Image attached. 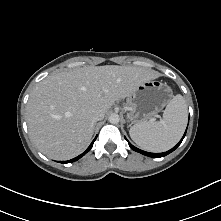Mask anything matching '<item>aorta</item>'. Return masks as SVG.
<instances>
[{"label": "aorta", "mask_w": 221, "mask_h": 221, "mask_svg": "<svg viewBox=\"0 0 221 221\" xmlns=\"http://www.w3.org/2000/svg\"><path fill=\"white\" fill-rule=\"evenodd\" d=\"M108 121H109L111 124H117V123H119V121H120V117H119L118 114L112 113V114L109 116Z\"/></svg>", "instance_id": "obj_1"}]
</instances>
